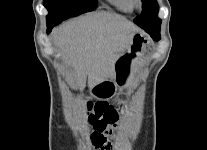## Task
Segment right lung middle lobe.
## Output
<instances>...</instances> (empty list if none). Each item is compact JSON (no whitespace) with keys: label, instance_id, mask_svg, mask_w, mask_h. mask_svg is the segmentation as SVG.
<instances>
[{"label":"right lung middle lobe","instance_id":"1","mask_svg":"<svg viewBox=\"0 0 207 150\" xmlns=\"http://www.w3.org/2000/svg\"><path fill=\"white\" fill-rule=\"evenodd\" d=\"M48 10L47 23H60L63 20L92 11L97 6V0H44Z\"/></svg>","mask_w":207,"mask_h":150}]
</instances>
